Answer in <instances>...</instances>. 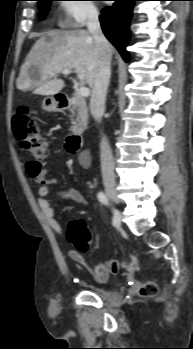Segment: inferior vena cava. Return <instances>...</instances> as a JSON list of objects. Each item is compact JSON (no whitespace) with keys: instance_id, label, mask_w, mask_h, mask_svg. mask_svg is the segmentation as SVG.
<instances>
[{"instance_id":"602c4592","label":"inferior vena cava","mask_w":193,"mask_h":349,"mask_svg":"<svg viewBox=\"0 0 193 349\" xmlns=\"http://www.w3.org/2000/svg\"><path fill=\"white\" fill-rule=\"evenodd\" d=\"M87 28L99 48V59L96 63L90 99V111L94 119L100 122L105 111L106 93L111 75V50L110 44L101 30L99 14L96 9H91L88 12ZM100 162L104 185H114L113 154L109 141L105 136L102 137L100 142Z\"/></svg>"}]
</instances>
